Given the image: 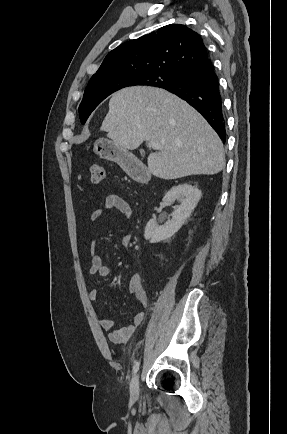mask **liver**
Masks as SVG:
<instances>
[{
	"instance_id": "liver-1",
	"label": "liver",
	"mask_w": 287,
	"mask_h": 434,
	"mask_svg": "<svg viewBox=\"0 0 287 434\" xmlns=\"http://www.w3.org/2000/svg\"><path fill=\"white\" fill-rule=\"evenodd\" d=\"M101 130L126 150L143 141L159 143L147 163L161 179L214 175L225 166L217 133L187 102L163 89L138 86L114 93Z\"/></svg>"
}]
</instances>
